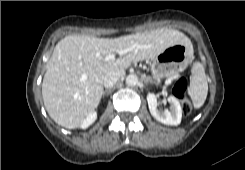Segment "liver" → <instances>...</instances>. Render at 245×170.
Instances as JSON below:
<instances>
[{
    "mask_svg": "<svg viewBox=\"0 0 245 170\" xmlns=\"http://www.w3.org/2000/svg\"><path fill=\"white\" fill-rule=\"evenodd\" d=\"M177 44L193 49L184 33L166 28L114 39L66 36L56 44L42 82V97L49 116L62 127H80L98 107L107 73L125 71L132 62L153 58ZM127 48L132 50L105 61L107 55Z\"/></svg>",
    "mask_w": 245,
    "mask_h": 170,
    "instance_id": "obj_1",
    "label": "liver"
}]
</instances>
